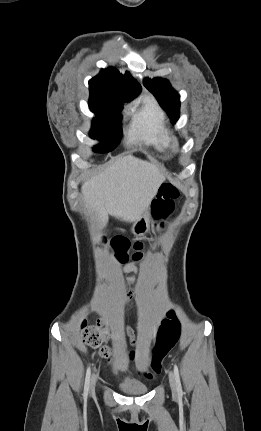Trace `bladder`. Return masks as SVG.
I'll use <instances>...</instances> for the list:
<instances>
[{"instance_id": "bladder-1", "label": "bladder", "mask_w": 261, "mask_h": 431, "mask_svg": "<svg viewBox=\"0 0 261 431\" xmlns=\"http://www.w3.org/2000/svg\"><path fill=\"white\" fill-rule=\"evenodd\" d=\"M119 389L127 395L137 396L148 392L149 387L129 376H124L119 384Z\"/></svg>"}]
</instances>
